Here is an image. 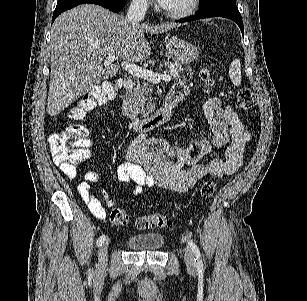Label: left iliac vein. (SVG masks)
Returning <instances> with one entry per match:
<instances>
[{
	"label": "left iliac vein",
	"mask_w": 307,
	"mask_h": 301,
	"mask_svg": "<svg viewBox=\"0 0 307 301\" xmlns=\"http://www.w3.org/2000/svg\"><path fill=\"white\" fill-rule=\"evenodd\" d=\"M184 259L188 268H193L195 265L194 255L189 248L184 249Z\"/></svg>",
	"instance_id": "obj_1"
}]
</instances>
